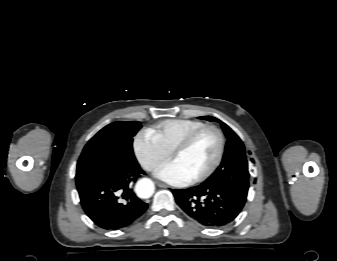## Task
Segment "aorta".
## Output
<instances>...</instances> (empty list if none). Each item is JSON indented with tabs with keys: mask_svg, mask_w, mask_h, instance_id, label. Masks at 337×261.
<instances>
[{
	"mask_svg": "<svg viewBox=\"0 0 337 261\" xmlns=\"http://www.w3.org/2000/svg\"><path fill=\"white\" fill-rule=\"evenodd\" d=\"M154 183L149 178L140 179L135 186L137 195L140 198H149L154 193Z\"/></svg>",
	"mask_w": 337,
	"mask_h": 261,
	"instance_id": "762f6f07",
	"label": "aorta"
}]
</instances>
